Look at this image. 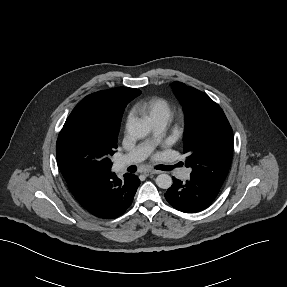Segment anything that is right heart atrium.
Instances as JSON below:
<instances>
[{
  "label": "right heart atrium",
  "mask_w": 287,
  "mask_h": 287,
  "mask_svg": "<svg viewBox=\"0 0 287 287\" xmlns=\"http://www.w3.org/2000/svg\"><path fill=\"white\" fill-rule=\"evenodd\" d=\"M133 121H134V114L129 113L126 120V127L128 128L133 123Z\"/></svg>",
  "instance_id": "obj_1"
}]
</instances>
